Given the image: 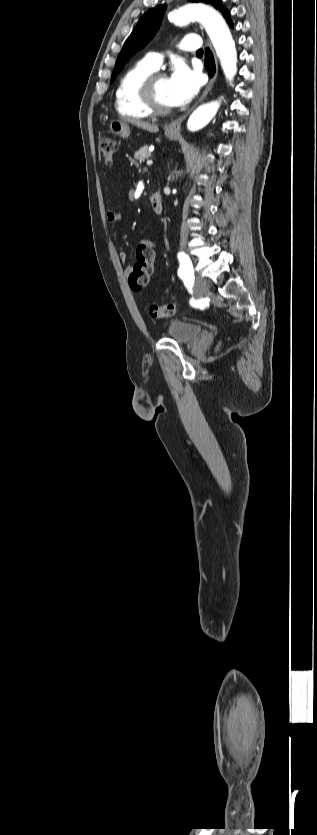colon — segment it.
Returning <instances> with one entry per match:
<instances>
[{
    "label": "colon",
    "mask_w": 317,
    "mask_h": 835,
    "mask_svg": "<svg viewBox=\"0 0 317 835\" xmlns=\"http://www.w3.org/2000/svg\"><path fill=\"white\" fill-rule=\"evenodd\" d=\"M116 151V142L110 138L102 139L100 152L106 162H111ZM153 273V263L139 258L129 274L128 282L134 291L143 290L149 283ZM174 304H152L148 308V314L152 318H168L175 314Z\"/></svg>",
    "instance_id": "colon-1"
}]
</instances>
